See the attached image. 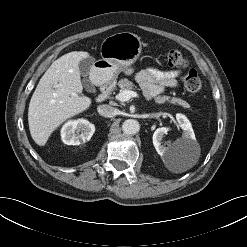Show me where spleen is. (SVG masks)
Masks as SVG:
<instances>
[{"instance_id": "obj_1", "label": "spleen", "mask_w": 247, "mask_h": 247, "mask_svg": "<svg viewBox=\"0 0 247 247\" xmlns=\"http://www.w3.org/2000/svg\"><path fill=\"white\" fill-rule=\"evenodd\" d=\"M185 170H186V169H179L178 171H179V172H183V171H185Z\"/></svg>"}]
</instances>
